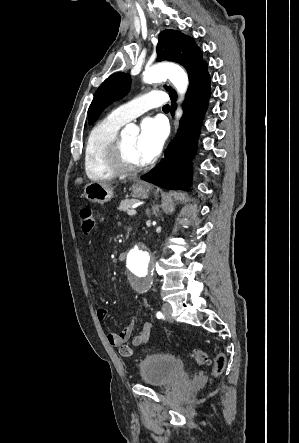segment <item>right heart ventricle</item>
Here are the masks:
<instances>
[{
	"instance_id": "e07e8e85",
	"label": "right heart ventricle",
	"mask_w": 299,
	"mask_h": 443,
	"mask_svg": "<svg viewBox=\"0 0 299 443\" xmlns=\"http://www.w3.org/2000/svg\"><path fill=\"white\" fill-rule=\"evenodd\" d=\"M123 124L124 122L109 115L90 131L84 154L85 172L90 180L106 181L116 176L107 163V151L117 138Z\"/></svg>"
}]
</instances>
